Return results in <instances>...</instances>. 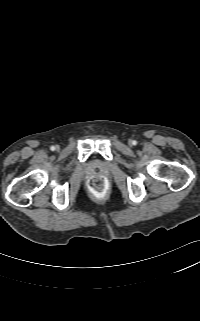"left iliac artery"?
Listing matches in <instances>:
<instances>
[{
    "label": "left iliac artery",
    "mask_w": 200,
    "mask_h": 321,
    "mask_svg": "<svg viewBox=\"0 0 200 321\" xmlns=\"http://www.w3.org/2000/svg\"><path fill=\"white\" fill-rule=\"evenodd\" d=\"M137 142L136 141H133V144H136Z\"/></svg>",
    "instance_id": "1"
}]
</instances>
